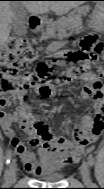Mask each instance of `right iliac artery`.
I'll use <instances>...</instances> for the list:
<instances>
[{
  "mask_svg": "<svg viewBox=\"0 0 104 189\" xmlns=\"http://www.w3.org/2000/svg\"><path fill=\"white\" fill-rule=\"evenodd\" d=\"M11 158H12V151L9 150L7 151L6 156H5V164L7 166L9 165ZM4 179H5V182H7V171L5 173Z\"/></svg>",
  "mask_w": 104,
  "mask_h": 189,
  "instance_id": "obj_1",
  "label": "right iliac artery"
}]
</instances>
